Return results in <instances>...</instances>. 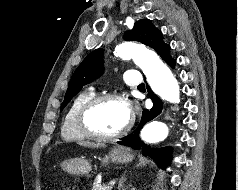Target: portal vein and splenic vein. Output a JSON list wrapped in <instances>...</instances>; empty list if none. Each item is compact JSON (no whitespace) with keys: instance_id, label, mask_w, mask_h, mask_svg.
<instances>
[{"instance_id":"obj_1","label":"portal vein and splenic vein","mask_w":238,"mask_h":190,"mask_svg":"<svg viewBox=\"0 0 238 190\" xmlns=\"http://www.w3.org/2000/svg\"><path fill=\"white\" fill-rule=\"evenodd\" d=\"M114 185H115V181L109 183V186H111V187Z\"/></svg>"}]
</instances>
